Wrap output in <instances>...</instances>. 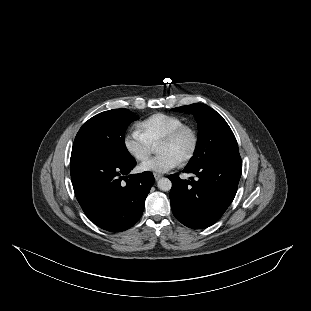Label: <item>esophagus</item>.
<instances>
[{"mask_svg":"<svg viewBox=\"0 0 311 311\" xmlns=\"http://www.w3.org/2000/svg\"><path fill=\"white\" fill-rule=\"evenodd\" d=\"M153 175L156 181H158L162 177V175L158 173H153Z\"/></svg>","mask_w":311,"mask_h":311,"instance_id":"1","label":"esophagus"}]
</instances>
